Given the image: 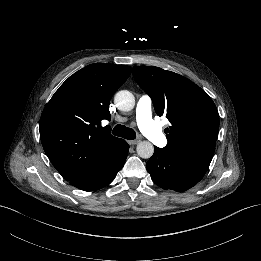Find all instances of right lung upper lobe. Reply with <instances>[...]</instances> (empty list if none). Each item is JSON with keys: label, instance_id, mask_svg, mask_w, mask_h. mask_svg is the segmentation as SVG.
I'll list each match as a JSON object with an SVG mask.
<instances>
[{"label": "right lung upper lobe", "instance_id": "right-lung-upper-lobe-1", "mask_svg": "<svg viewBox=\"0 0 261 261\" xmlns=\"http://www.w3.org/2000/svg\"><path fill=\"white\" fill-rule=\"evenodd\" d=\"M126 65L94 63L70 76L40 118V139L49 160L70 181L101 165L123 142L111 135L109 102L130 75Z\"/></svg>", "mask_w": 261, "mask_h": 261}]
</instances>
